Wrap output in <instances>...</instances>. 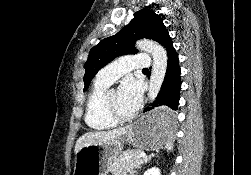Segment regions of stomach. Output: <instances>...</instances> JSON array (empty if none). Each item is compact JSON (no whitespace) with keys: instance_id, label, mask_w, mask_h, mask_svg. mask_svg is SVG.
Returning a JSON list of instances; mask_svg holds the SVG:
<instances>
[{"instance_id":"0dacf381","label":"stomach","mask_w":251,"mask_h":175,"mask_svg":"<svg viewBox=\"0 0 251 175\" xmlns=\"http://www.w3.org/2000/svg\"><path fill=\"white\" fill-rule=\"evenodd\" d=\"M171 107H156L129 125L119 143H89L75 155L73 175H107L112 161L120 157L124 143L139 149H154L172 141L176 114Z\"/></svg>"}]
</instances>
